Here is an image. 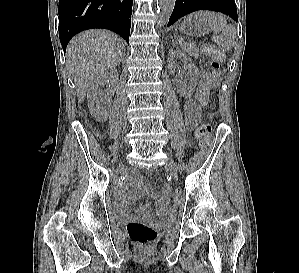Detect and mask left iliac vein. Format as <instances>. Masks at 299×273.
<instances>
[{
  "label": "left iliac vein",
  "mask_w": 299,
  "mask_h": 273,
  "mask_svg": "<svg viewBox=\"0 0 299 273\" xmlns=\"http://www.w3.org/2000/svg\"><path fill=\"white\" fill-rule=\"evenodd\" d=\"M165 167L167 168V170L173 175L176 176L177 175V167H176V163L172 158H168Z\"/></svg>",
  "instance_id": "left-iliac-vein-1"
}]
</instances>
